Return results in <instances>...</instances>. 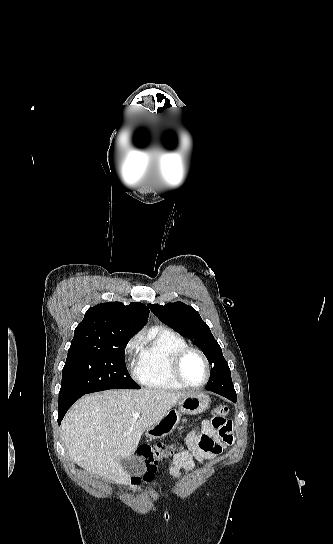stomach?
Masks as SVG:
<instances>
[{
  "mask_svg": "<svg viewBox=\"0 0 333 544\" xmlns=\"http://www.w3.org/2000/svg\"><path fill=\"white\" fill-rule=\"evenodd\" d=\"M210 404L209 396L205 394H189L178 402V410H170L158 422L150 426L145 435L150 440L163 438L171 434L182 414H198L204 412Z\"/></svg>",
  "mask_w": 333,
  "mask_h": 544,
  "instance_id": "1",
  "label": "stomach"
}]
</instances>
